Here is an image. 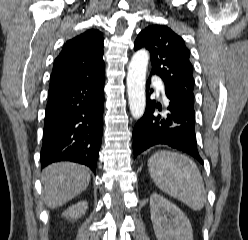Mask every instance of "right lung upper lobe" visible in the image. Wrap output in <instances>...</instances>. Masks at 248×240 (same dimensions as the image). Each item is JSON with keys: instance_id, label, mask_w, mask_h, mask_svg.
<instances>
[{"instance_id": "obj_1", "label": "right lung upper lobe", "mask_w": 248, "mask_h": 240, "mask_svg": "<svg viewBox=\"0 0 248 240\" xmlns=\"http://www.w3.org/2000/svg\"><path fill=\"white\" fill-rule=\"evenodd\" d=\"M103 34L89 29L67 41L55 59L49 90L104 74Z\"/></svg>"}]
</instances>
